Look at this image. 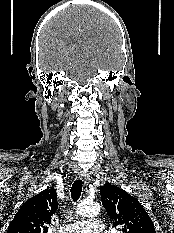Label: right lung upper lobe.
Listing matches in <instances>:
<instances>
[{
    "label": "right lung upper lobe",
    "mask_w": 174,
    "mask_h": 233,
    "mask_svg": "<svg viewBox=\"0 0 174 233\" xmlns=\"http://www.w3.org/2000/svg\"><path fill=\"white\" fill-rule=\"evenodd\" d=\"M54 188L44 190L26 201L10 222L7 233H47L52 215L57 210Z\"/></svg>",
    "instance_id": "cb5924a9"
}]
</instances>
